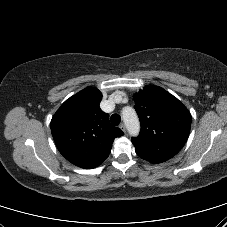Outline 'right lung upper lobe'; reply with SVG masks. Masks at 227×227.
<instances>
[{
    "label": "right lung upper lobe",
    "mask_w": 227,
    "mask_h": 227,
    "mask_svg": "<svg viewBox=\"0 0 227 227\" xmlns=\"http://www.w3.org/2000/svg\"><path fill=\"white\" fill-rule=\"evenodd\" d=\"M101 99L98 89L87 87L67 99L51 120V133L60 153L81 168L99 166L109 156L114 139L124 134L100 109Z\"/></svg>",
    "instance_id": "1"
}]
</instances>
